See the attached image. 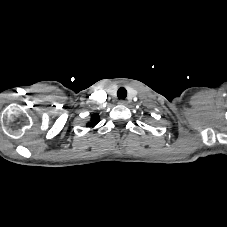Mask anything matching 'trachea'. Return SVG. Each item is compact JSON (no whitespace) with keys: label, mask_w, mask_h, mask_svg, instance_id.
I'll return each mask as SVG.
<instances>
[{"label":"trachea","mask_w":227,"mask_h":227,"mask_svg":"<svg viewBox=\"0 0 227 227\" xmlns=\"http://www.w3.org/2000/svg\"><path fill=\"white\" fill-rule=\"evenodd\" d=\"M117 96L119 99H125L127 96V91L124 87H120L117 91Z\"/></svg>","instance_id":"obj_1"}]
</instances>
